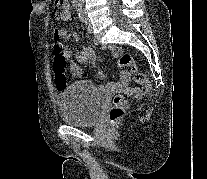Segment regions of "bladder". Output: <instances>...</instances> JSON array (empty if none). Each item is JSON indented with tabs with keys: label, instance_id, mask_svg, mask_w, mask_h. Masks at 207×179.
I'll return each mask as SVG.
<instances>
[{
	"label": "bladder",
	"instance_id": "obj_1",
	"mask_svg": "<svg viewBox=\"0 0 207 179\" xmlns=\"http://www.w3.org/2000/svg\"><path fill=\"white\" fill-rule=\"evenodd\" d=\"M56 102L62 121L72 126H87L99 117L102 99L92 83L79 81L62 89Z\"/></svg>",
	"mask_w": 207,
	"mask_h": 179
}]
</instances>
